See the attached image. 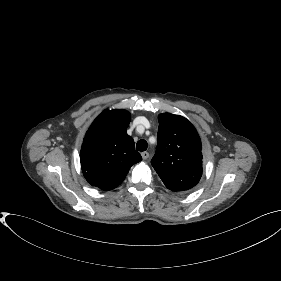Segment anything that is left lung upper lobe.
Segmentation results:
<instances>
[{"label":"left lung upper lobe","instance_id":"5c2ea615","mask_svg":"<svg viewBox=\"0 0 281 281\" xmlns=\"http://www.w3.org/2000/svg\"><path fill=\"white\" fill-rule=\"evenodd\" d=\"M158 119V143L151 164L169 190L187 192L202 176L199 135L182 116L163 113Z\"/></svg>","mask_w":281,"mask_h":281}]
</instances>
